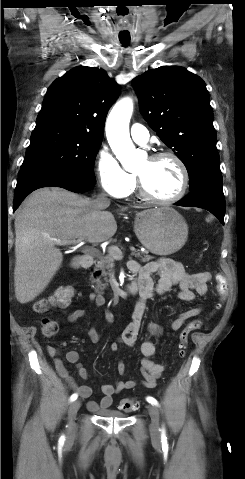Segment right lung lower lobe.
<instances>
[{
  "label": "right lung lower lobe",
  "mask_w": 245,
  "mask_h": 479,
  "mask_svg": "<svg viewBox=\"0 0 245 479\" xmlns=\"http://www.w3.org/2000/svg\"><path fill=\"white\" fill-rule=\"evenodd\" d=\"M94 184L77 176L59 171H39L18 177L13 211L32 191L48 186L62 187L72 192L82 193L94 188Z\"/></svg>",
  "instance_id": "right-lung-lower-lobe-1"
}]
</instances>
